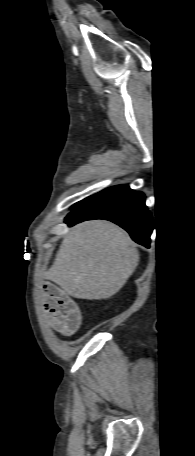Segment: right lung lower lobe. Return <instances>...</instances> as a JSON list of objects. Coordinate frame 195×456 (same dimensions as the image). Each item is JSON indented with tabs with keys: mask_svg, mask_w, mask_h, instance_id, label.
Returning a JSON list of instances; mask_svg holds the SVG:
<instances>
[{
	"mask_svg": "<svg viewBox=\"0 0 195 456\" xmlns=\"http://www.w3.org/2000/svg\"><path fill=\"white\" fill-rule=\"evenodd\" d=\"M92 219L110 220L129 232L135 242L145 247L150 245L153 221L145 206V196L127 185L113 186L97 193L75 207L65 222L72 226Z\"/></svg>",
	"mask_w": 195,
	"mask_h": 456,
	"instance_id": "obj_1",
	"label": "right lung lower lobe"
}]
</instances>
